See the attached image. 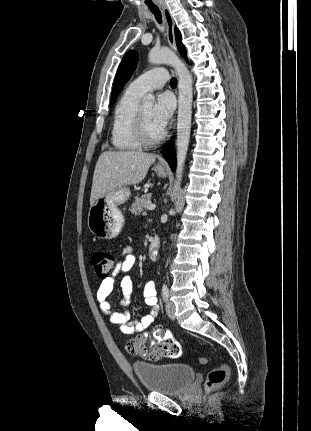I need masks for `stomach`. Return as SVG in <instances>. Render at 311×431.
Here are the masks:
<instances>
[{"label":"stomach","mask_w":311,"mask_h":431,"mask_svg":"<svg viewBox=\"0 0 311 431\" xmlns=\"http://www.w3.org/2000/svg\"><path fill=\"white\" fill-rule=\"evenodd\" d=\"M154 172L159 178H167L165 168L155 166ZM130 196V188L121 186V188H116L113 192H107L98 198L95 204L90 206L88 212L87 221L91 233H94L99 239L117 237L125 223V216H123L119 206L126 204L130 200Z\"/></svg>","instance_id":"1"}]
</instances>
